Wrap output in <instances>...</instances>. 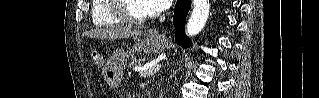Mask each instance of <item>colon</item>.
Segmentation results:
<instances>
[{"mask_svg":"<svg viewBox=\"0 0 319 98\" xmlns=\"http://www.w3.org/2000/svg\"><path fill=\"white\" fill-rule=\"evenodd\" d=\"M91 59L92 61L94 62V64L96 66H102L103 65V58H102V55L99 51L97 50H92L91 51Z\"/></svg>","mask_w":319,"mask_h":98,"instance_id":"5ec220e1","label":"colon"}]
</instances>
